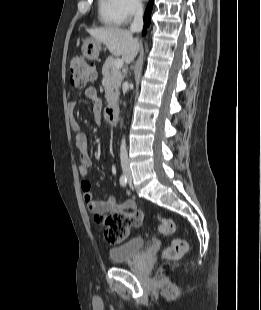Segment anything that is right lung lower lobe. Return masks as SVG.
I'll list each match as a JSON object with an SVG mask.
<instances>
[{
	"mask_svg": "<svg viewBox=\"0 0 261 310\" xmlns=\"http://www.w3.org/2000/svg\"><path fill=\"white\" fill-rule=\"evenodd\" d=\"M153 2H154V0H150V2L148 3L147 8L145 10L144 27H143L144 34L146 33V30H147V28H148V26L150 24L149 18L151 16Z\"/></svg>",
	"mask_w": 261,
	"mask_h": 310,
	"instance_id": "right-lung-lower-lobe-1",
	"label": "right lung lower lobe"
}]
</instances>
